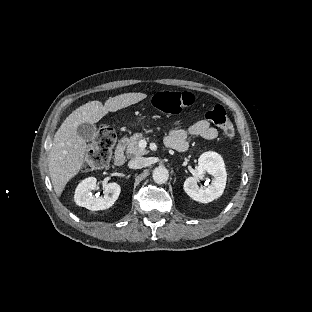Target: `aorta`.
I'll list each match as a JSON object with an SVG mask.
<instances>
[{
  "label": "aorta",
  "instance_id": "aorta-1",
  "mask_svg": "<svg viewBox=\"0 0 312 312\" xmlns=\"http://www.w3.org/2000/svg\"><path fill=\"white\" fill-rule=\"evenodd\" d=\"M153 181L157 184H163L167 182L168 177H169V172L164 166H158L154 171H153Z\"/></svg>",
  "mask_w": 312,
  "mask_h": 312
}]
</instances>
